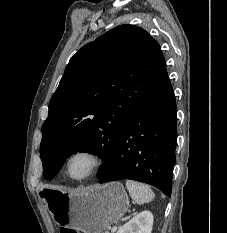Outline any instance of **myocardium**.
Instances as JSON below:
<instances>
[{"label": "myocardium", "mask_w": 227, "mask_h": 233, "mask_svg": "<svg viewBox=\"0 0 227 233\" xmlns=\"http://www.w3.org/2000/svg\"><path fill=\"white\" fill-rule=\"evenodd\" d=\"M79 156H85V157L89 158V160L91 161V166H90L89 170L87 171V173L84 174L83 176L74 177L71 175L70 165H71L72 161ZM103 164H104V158L99 151H97L94 148L83 147V148H79V149L73 151L67 157V159L65 161V172H66L67 177L73 181H77V182L85 181V180L93 177L94 175H96L100 171V169L102 168Z\"/></svg>", "instance_id": "obj_1"}]
</instances>
